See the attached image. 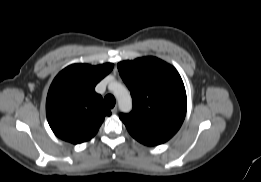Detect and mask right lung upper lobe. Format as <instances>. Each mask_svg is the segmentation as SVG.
Masks as SVG:
<instances>
[{
    "mask_svg": "<svg viewBox=\"0 0 261 182\" xmlns=\"http://www.w3.org/2000/svg\"><path fill=\"white\" fill-rule=\"evenodd\" d=\"M112 69L111 63L73 64L54 78L47 95L46 114L57 137L78 144L97 133L111 112L103 106L95 86Z\"/></svg>",
    "mask_w": 261,
    "mask_h": 182,
    "instance_id": "1",
    "label": "right lung upper lobe"
}]
</instances>
